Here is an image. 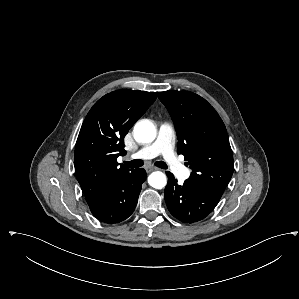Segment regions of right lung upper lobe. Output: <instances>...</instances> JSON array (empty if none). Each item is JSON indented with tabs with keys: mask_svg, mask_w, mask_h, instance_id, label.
<instances>
[{
	"mask_svg": "<svg viewBox=\"0 0 299 299\" xmlns=\"http://www.w3.org/2000/svg\"><path fill=\"white\" fill-rule=\"evenodd\" d=\"M158 92L117 90L99 99L87 114L75 147L77 180L88 204L120 175L132 169L119 165L124 136L156 100Z\"/></svg>",
	"mask_w": 299,
	"mask_h": 299,
	"instance_id": "right-lung-upper-lobe-1",
	"label": "right lung upper lobe"
}]
</instances>
